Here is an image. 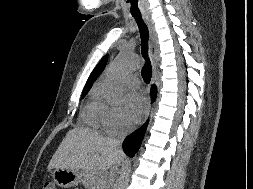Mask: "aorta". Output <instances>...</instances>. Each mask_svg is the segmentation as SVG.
I'll return each instance as SVG.
<instances>
[{
  "label": "aorta",
  "instance_id": "1",
  "mask_svg": "<svg viewBox=\"0 0 253 189\" xmlns=\"http://www.w3.org/2000/svg\"><path fill=\"white\" fill-rule=\"evenodd\" d=\"M137 66V62L129 54L123 52L112 65L109 75L102 85L104 97L111 106H118L123 99V76Z\"/></svg>",
  "mask_w": 253,
  "mask_h": 189
}]
</instances>
